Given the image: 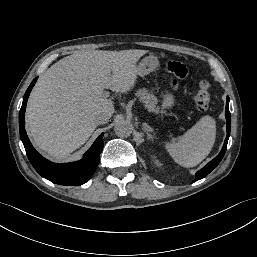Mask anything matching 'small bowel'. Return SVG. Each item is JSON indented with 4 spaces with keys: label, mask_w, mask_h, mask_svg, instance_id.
Listing matches in <instances>:
<instances>
[{
    "label": "small bowel",
    "mask_w": 257,
    "mask_h": 257,
    "mask_svg": "<svg viewBox=\"0 0 257 257\" xmlns=\"http://www.w3.org/2000/svg\"><path fill=\"white\" fill-rule=\"evenodd\" d=\"M153 76L162 91L172 92L190 81L191 71L184 62L163 59L154 66Z\"/></svg>",
    "instance_id": "obj_1"
}]
</instances>
